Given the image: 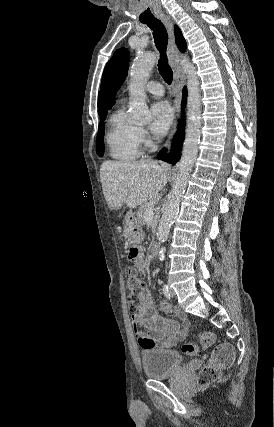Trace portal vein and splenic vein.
Here are the masks:
<instances>
[{
	"mask_svg": "<svg viewBox=\"0 0 274 427\" xmlns=\"http://www.w3.org/2000/svg\"><path fill=\"white\" fill-rule=\"evenodd\" d=\"M144 217H145V219H153V217H154V206H152V208H149V210H146Z\"/></svg>",
	"mask_w": 274,
	"mask_h": 427,
	"instance_id": "1",
	"label": "portal vein and splenic vein"
}]
</instances>
